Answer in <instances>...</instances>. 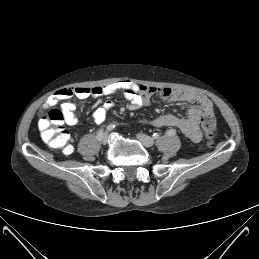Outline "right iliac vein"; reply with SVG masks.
Here are the masks:
<instances>
[{
	"mask_svg": "<svg viewBox=\"0 0 259 259\" xmlns=\"http://www.w3.org/2000/svg\"><path fill=\"white\" fill-rule=\"evenodd\" d=\"M102 144H107L109 141V134L107 132L103 133L101 139L99 140Z\"/></svg>",
	"mask_w": 259,
	"mask_h": 259,
	"instance_id": "63e3f726",
	"label": "right iliac vein"
}]
</instances>
